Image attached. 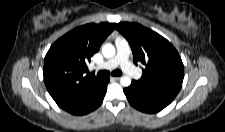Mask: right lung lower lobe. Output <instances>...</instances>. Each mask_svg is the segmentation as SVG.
<instances>
[{"mask_svg":"<svg viewBox=\"0 0 225 132\" xmlns=\"http://www.w3.org/2000/svg\"><path fill=\"white\" fill-rule=\"evenodd\" d=\"M109 82V77L102 78L101 85L95 95L86 103H81L78 105L63 108L67 112L74 115H84L100 106L103 101V97L107 91V84Z\"/></svg>","mask_w":225,"mask_h":132,"instance_id":"right-lung-lower-lobe-1","label":"right lung lower lobe"}]
</instances>
